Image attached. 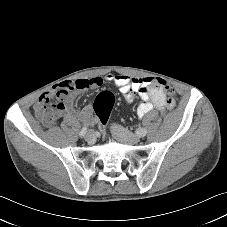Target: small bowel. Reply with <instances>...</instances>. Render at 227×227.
<instances>
[{
	"instance_id": "c3829d8e",
	"label": "small bowel",
	"mask_w": 227,
	"mask_h": 227,
	"mask_svg": "<svg viewBox=\"0 0 227 227\" xmlns=\"http://www.w3.org/2000/svg\"><path fill=\"white\" fill-rule=\"evenodd\" d=\"M104 81L114 84L127 103H133L136 96L141 98L142 102L137 109L139 117L145 116L154 108L164 111L174 105V100L167 96L159 80L155 78L108 74L104 79L94 77L56 85L51 92L41 95L34 106V112L45 126L54 124L62 117H77L87 124L92 123V106L87 105L81 111H77L74 108V101L81 91L87 88H97ZM53 98L58 99V102L50 104Z\"/></svg>"
}]
</instances>
